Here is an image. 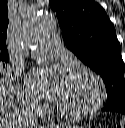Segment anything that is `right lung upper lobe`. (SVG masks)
<instances>
[{"label": "right lung upper lobe", "instance_id": "obj_1", "mask_svg": "<svg viewBox=\"0 0 125 128\" xmlns=\"http://www.w3.org/2000/svg\"><path fill=\"white\" fill-rule=\"evenodd\" d=\"M8 27V8L7 0H0V59H8V51L6 46Z\"/></svg>", "mask_w": 125, "mask_h": 128}]
</instances>
